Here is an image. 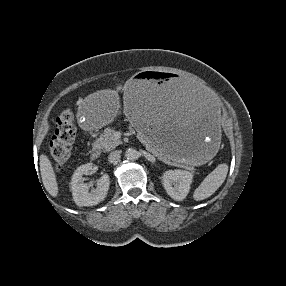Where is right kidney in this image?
<instances>
[{
    "mask_svg": "<svg viewBox=\"0 0 286 286\" xmlns=\"http://www.w3.org/2000/svg\"><path fill=\"white\" fill-rule=\"evenodd\" d=\"M92 169V163L83 164L75 170L72 176L70 187L73 200L78 206L97 205L104 200L109 190L110 180L108 174H104L98 180L96 189L88 190L87 184L84 183L83 175H88Z\"/></svg>",
    "mask_w": 286,
    "mask_h": 286,
    "instance_id": "ca27d5eb",
    "label": "right kidney"
}]
</instances>
